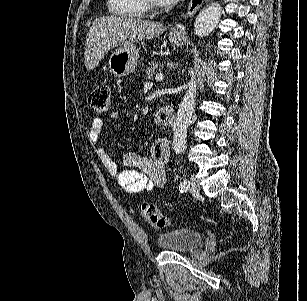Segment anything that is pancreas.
Returning a JSON list of instances; mask_svg holds the SVG:
<instances>
[{"label":"pancreas","mask_w":307,"mask_h":301,"mask_svg":"<svg viewBox=\"0 0 307 301\" xmlns=\"http://www.w3.org/2000/svg\"><path fill=\"white\" fill-rule=\"evenodd\" d=\"M163 66L164 64H160V62H150L145 70L148 80H153L154 74H161Z\"/></svg>","instance_id":"1"}]
</instances>
